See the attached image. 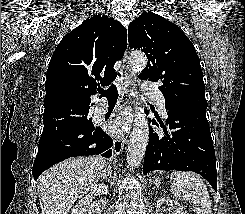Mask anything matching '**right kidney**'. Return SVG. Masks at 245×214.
Listing matches in <instances>:
<instances>
[{"label":"right kidney","instance_id":"ca27d5eb","mask_svg":"<svg viewBox=\"0 0 245 214\" xmlns=\"http://www.w3.org/2000/svg\"><path fill=\"white\" fill-rule=\"evenodd\" d=\"M108 193V187L104 184H95L91 189L90 195L81 199L72 209L71 214H93L94 205L92 195H102Z\"/></svg>","mask_w":245,"mask_h":214}]
</instances>
